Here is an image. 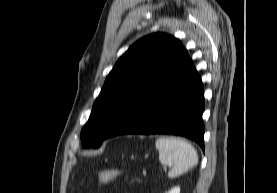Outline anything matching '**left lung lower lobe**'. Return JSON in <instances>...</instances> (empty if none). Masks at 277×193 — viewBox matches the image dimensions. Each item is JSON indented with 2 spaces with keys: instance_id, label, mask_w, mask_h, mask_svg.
<instances>
[{
  "instance_id": "1",
  "label": "left lung lower lobe",
  "mask_w": 277,
  "mask_h": 193,
  "mask_svg": "<svg viewBox=\"0 0 277 193\" xmlns=\"http://www.w3.org/2000/svg\"><path fill=\"white\" fill-rule=\"evenodd\" d=\"M204 89L193 62L138 100L108 133L172 134L196 141L204 150Z\"/></svg>"
}]
</instances>
